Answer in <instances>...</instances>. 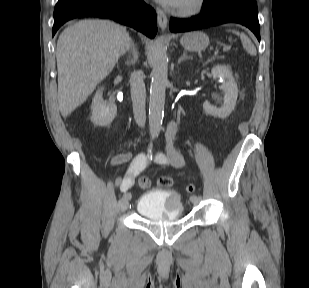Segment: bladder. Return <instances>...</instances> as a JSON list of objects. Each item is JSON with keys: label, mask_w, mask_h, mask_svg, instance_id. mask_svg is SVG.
I'll return each mask as SVG.
<instances>
[{"label": "bladder", "mask_w": 309, "mask_h": 288, "mask_svg": "<svg viewBox=\"0 0 309 288\" xmlns=\"http://www.w3.org/2000/svg\"><path fill=\"white\" fill-rule=\"evenodd\" d=\"M182 197L175 190L155 189L146 191L139 199L138 215L154 220H174L182 213Z\"/></svg>", "instance_id": "1"}]
</instances>
